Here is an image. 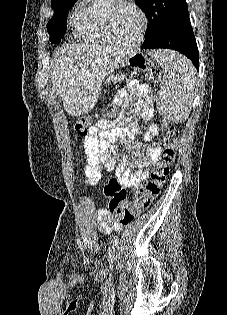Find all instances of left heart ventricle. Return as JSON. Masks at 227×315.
<instances>
[{
  "mask_svg": "<svg viewBox=\"0 0 227 315\" xmlns=\"http://www.w3.org/2000/svg\"><path fill=\"white\" fill-rule=\"evenodd\" d=\"M141 23V17L134 8L128 5L119 7L114 18L117 39L124 43L132 42L139 35Z\"/></svg>",
  "mask_w": 227,
  "mask_h": 315,
  "instance_id": "left-heart-ventricle-1",
  "label": "left heart ventricle"
}]
</instances>
